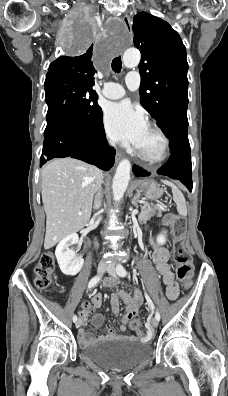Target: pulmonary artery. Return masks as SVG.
<instances>
[{
    "label": "pulmonary artery",
    "instance_id": "1",
    "mask_svg": "<svg viewBox=\"0 0 228 396\" xmlns=\"http://www.w3.org/2000/svg\"><path fill=\"white\" fill-rule=\"evenodd\" d=\"M140 84V78L137 72H130L126 76V85L129 90L135 91L138 89ZM102 94L104 97L108 99H119L122 98L126 91L125 89L118 83L114 82H106L104 84Z\"/></svg>",
    "mask_w": 228,
    "mask_h": 396
}]
</instances>
